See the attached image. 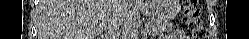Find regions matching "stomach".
Here are the masks:
<instances>
[{
	"label": "stomach",
	"instance_id": "stomach-1",
	"mask_svg": "<svg viewBox=\"0 0 249 39\" xmlns=\"http://www.w3.org/2000/svg\"><path fill=\"white\" fill-rule=\"evenodd\" d=\"M179 10L178 0H145L140 8L143 14L163 21L175 18Z\"/></svg>",
	"mask_w": 249,
	"mask_h": 39
}]
</instances>
